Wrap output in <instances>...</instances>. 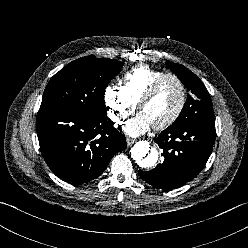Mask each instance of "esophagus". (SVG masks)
<instances>
[{"instance_id": "obj_1", "label": "esophagus", "mask_w": 248, "mask_h": 248, "mask_svg": "<svg viewBox=\"0 0 248 248\" xmlns=\"http://www.w3.org/2000/svg\"><path fill=\"white\" fill-rule=\"evenodd\" d=\"M126 142H127V145L128 146H131V145H133L136 142V140L135 139H132V138H127L126 139Z\"/></svg>"}]
</instances>
